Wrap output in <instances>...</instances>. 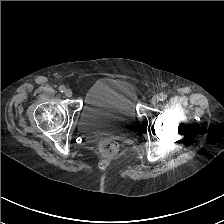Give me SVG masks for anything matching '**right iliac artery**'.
Listing matches in <instances>:
<instances>
[{
	"instance_id": "obj_1",
	"label": "right iliac artery",
	"mask_w": 224,
	"mask_h": 224,
	"mask_svg": "<svg viewBox=\"0 0 224 224\" xmlns=\"http://www.w3.org/2000/svg\"><path fill=\"white\" fill-rule=\"evenodd\" d=\"M65 90H66V87L64 85L59 86V91L60 92H65Z\"/></svg>"
}]
</instances>
